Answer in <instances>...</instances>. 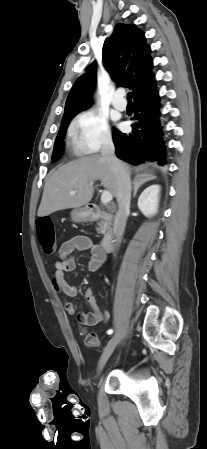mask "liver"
Wrapping results in <instances>:
<instances>
[{
  "mask_svg": "<svg viewBox=\"0 0 207 449\" xmlns=\"http://www.w3.org/2000/svg\"><path fill=\"white\" fill-rule=\"evenodd\" d=\"M125 167L129 172V166ZM142 176L152 175L144 173ZM96 180H100L113 196H117L114 173L102 156L90 155L62 165L46 182L37 215L44 217L59 210L88 204L92 199L93 183ZM71 191L76 193L72 195Z\"/></svg>",
  "mask_w": 207,
  "mask_h": 449,
  "instance_id": "1",
  "label": "liver"
}]
</instances>
